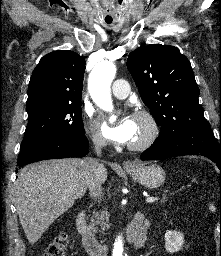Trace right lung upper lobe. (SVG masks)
I'll use <instances>...</instances> for the list:
<instances>
[{
  "instance_id": "cb5924a9",
  "label": "right lung upper lobe",
  "mask_w": 221,
  "mask_h": 256,
  "mask_svg": "<svg viewBox=\"0 0 221 256\" xmlns=\"http://www.w3.org/2000/svg\"><path fill=\"white\" fill-rule=\"evenodd\" d=\"M85 59L70 50L51 52L34 69L27 109L43 104L81 103Z\"/></svg>"
}]
</instances>
